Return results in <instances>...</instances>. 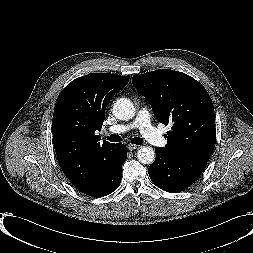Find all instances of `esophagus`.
<instances>
[{"mask_svg":"<svg viewBox=\"0 0 253 253\" xmlns=\"http://www.w3.org/2000/svg\"><path fill=\"white\" fill-rule=\"evenodd\" d=\"M127 147H128V149H129L130 151H134V150H136V149L139 148L138 145H134V144H128Z\"/></svg>","mask_w":253,"mask_h":253,"instance_id":"34e87169","label":"esophagus"}]
</instances>
